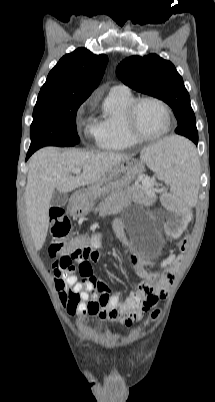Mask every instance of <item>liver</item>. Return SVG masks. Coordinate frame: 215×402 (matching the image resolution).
Instances as JSON below:
<instances>
[{
  "label": "liver",
  "mask_w": 215,
  "mask_h": 402,
  "mask_svg": "<svg viewBox=\"0 0 215 402\" xmlns=\"http://www.w3.org/2000/svg\"><path fill=\"white\" fill-rule=\"evenodd\" d=\"M127 159L128 155L119 153H93L78 149L61 151L55 147H45L34 153L29 159L25 204L28 227L36 250L43 247L47 236L54 190L68 193L92 185ZM74 169H80L82 173L72 176Z\"/></svg>",
  "instance_id": "liver-1"
}]
</instances>
